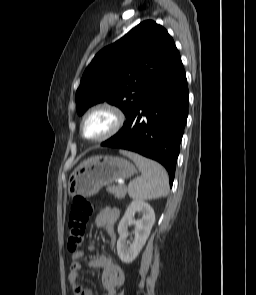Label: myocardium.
I'll return each mask as SVG.
<instances>
[{
  "label": "myocardium",
  "mask_w": 256,
  "mask_h": 295,
  "mask_svg": "<svg viewBox=\"0 0 256 295\" xmlns=\"http://www.w3.org/2000/svg\"><path fill=\"white\" fill-rule=\"evenodd\" d=\"M97 111L108 112L113 119L112 126L104 135L99 136L97 138L89 139L84 134V125L88 117ZM124 120H125L124 114L118 107H116L115 105L109 102H101L89 108L82 116V119L80 122V134L85 140L89 142H92V143L103 142L113 137L121 129L124 123Z\"/></svg>",
  "instance_id": "1"
}]
</instances>
